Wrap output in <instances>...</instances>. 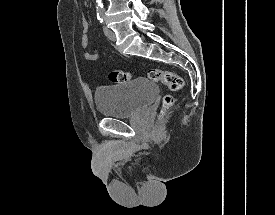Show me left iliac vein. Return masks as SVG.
I'll return each instance as SVG.
<instances>
[{
    "mask_svg": "<svg viewBox=\"0 0 275 215\" xmlns=\"http://www.w3.org/2000/svg\"><path fill=\"white\" fill-rule=\"evenodd\" d=\"M103 30H104V33H105V35L107 36V38H108L109 40L115 41L116 36H115L114 32H113L110 28L104 26V27H103Z\"/></svg>",
    "mask_w": 275,
    "mask_h": 215,
    "instance_id": "4c4485c4",
    "label": "left iliac vein"
}]
</instances>
